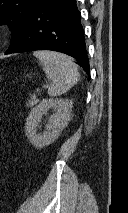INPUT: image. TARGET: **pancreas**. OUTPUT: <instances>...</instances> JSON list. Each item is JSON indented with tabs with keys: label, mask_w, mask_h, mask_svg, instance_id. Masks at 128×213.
Returning <instances> with one entry per match:
<instances>
[{
	"label": "pancreas",
	"mask_w": 128,
	"mask_h": 213,
	"mask_svg": "<svg viewBox=\"0 0 128 213\" xmlns=\"http://www.w3.org/2000/svg\"><path fill=\"white\" fill-rule=\"evenodd\" d=\"M39 102V100L36 97H32L31 99L27 100L26 102V106L28 108L33 107L34 105H36Z\"/></svg>",
	"instance_id": "pancreas-1"
}]
</instances>
